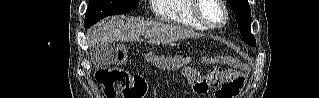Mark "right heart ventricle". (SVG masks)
Returning a JSON list of instances; mask_svg holds the SVG:
<instances>
[{
    "instance_id": "right-heart-ventricle-1",
    "label": "right heart ventricle",
    "mask_w": 319,
    "mask_h": 98,
    "mask_svg": "<svg viewBox=\"0 0 319 98\" xmlns=\"http://www.w3.org/2000/svg\"><path fill=\"white\" fill-rule=\"evenodd\" d=\"M194 0H154V14L162 21L194 30H206L193 12Z\"/></svg>"
}]
</instances>
